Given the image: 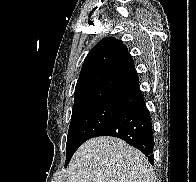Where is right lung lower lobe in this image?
Returning <instances> with one entry per match:
<instances>
[{
  "instance_id": "obj_1",
  "label": "right lung lower lobe",
  "mask_w": 196,
  "mask_h": 182,
  "mask_svg": "<svg viewBox=\"0 0 196 182\" xmlns=\"http://www.w3.org/2000/svg\"><path fill=\"white\" fill-rule=\"evenodd\" d=\"M98 136H113L124 140L139 149L154 165L152 121L143 98L127 113L100 129L94 137Z\"/></svg>"
}]
</instances>
